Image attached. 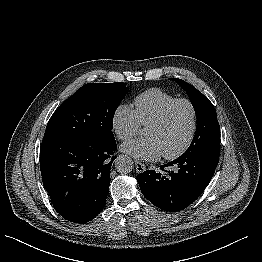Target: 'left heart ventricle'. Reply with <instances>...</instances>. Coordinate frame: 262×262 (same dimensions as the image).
Here are the masks:
<instances>
[{"label": "left heart ventricle", "instance_id": "1", "mask_svg": "<svg viewBox=\"0 0 262 262\" xmlns=\"http://www.w3.org/2000/svg\"><path fill=\"white\" fill-rule=\"evenodd\" d=\"M191 128V110L185 103L176 105L160 126H147L146 137L154 138L163 154L176 152L186 141Z\"/></svg>", "mask_w": 262, "mask_h": 262}]
</instances>
